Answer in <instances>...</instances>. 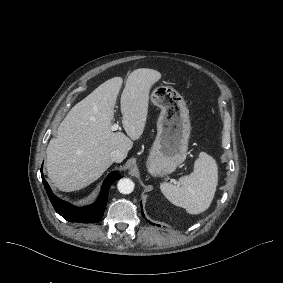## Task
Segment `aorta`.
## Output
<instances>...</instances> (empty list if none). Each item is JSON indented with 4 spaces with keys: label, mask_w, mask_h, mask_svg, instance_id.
I'll return each instance as SVG.
<instances>
[{
    "label": "aorta",
    "mask_w": 283,
    "mask_h": 283,
    "mask_svg": "<svg viewBox=\"0 0 283 283\" xmlns=\"http://www.w3.org/2000/svg\"><path fill=\"white\" fill-rule=\"evenodd\" d=\"M117 188L122 194H130L134 190V182L129 178H122L118 181Z\"/></svg>",
    "instance_id": "aorta-1"
}]
</instances>
